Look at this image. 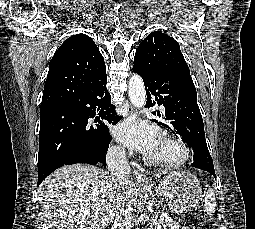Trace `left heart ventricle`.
I'll return each mask as SVG.
<instances>
[{
	"instance_id": "obj_1",
	"label": "left heart ventricle",
	"mask_w": 255,
	"mask_h": 229,
	"mask_svg": "<svg viewBox=\"0 0 255 229\" xmlns=\"http://www.w3.org/2000/svg\"><path fill=\"white\" fill-rule=\"evenodd\" d=\"M179 152L176 148H174L172 145L164 142L161 140L160 144L152 154V156L159 157V158H176L178 157Z\"/></svg>"
}]
</instances>
